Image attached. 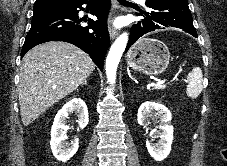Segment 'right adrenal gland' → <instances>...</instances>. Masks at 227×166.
Returning <instances> with one entry per match:
<instances>
[{"label":"right adrenal gland","mask_w":227,"mask_h":166,"mask_svg":"<svg viewBox=\"0 0 227 166\" xmlns=\"http://www.w3.org/2000/svg\"><path fill=\"white\" fill-rule=\"evenodd\" d=\"M83 85H87V81H85V82L83 83Z\"/></svg>","instance_id":"2a0ac1e0"}]
</instances>
